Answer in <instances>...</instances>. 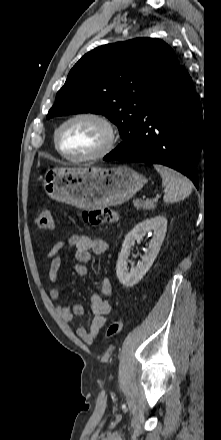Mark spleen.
I'll return each instance as SVG.
<instances>
[{"label":"spleen","instance_id":"spleen-1","mask_svg":"<svg viewBox=\"0 0 221 440\" xmlns=\"http://www.w3.org/2000/svg\"><path fill=\"white\" fill-rule=\"evenodd\" d=\"M154 168L161 175L162 185L168 189L163 197L165 203L181 201L191 194L192 183L187 177L163 165L156 164Z\"/></svg>","mask_w":221,"mask_h":440}]
</instances>
